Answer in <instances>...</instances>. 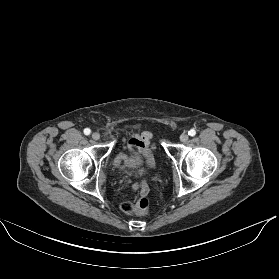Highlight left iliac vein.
<instances>
[{
    "mask_svg": "<svg viewBox=\"0 0 279 279\" xmlns=\"http://www.w3.org/2000/svg\"><path fill=\"white\" fill-rule=\"evenodd\" d=\"M189 136L186 133L181 134L180 141L185 143L188 141Z\"/></svg>",
    "mask_w": 279,
    "mask_h": 279,
    "instance_id": "4c4485c4",
    "label": "left iliac vein"
}]
</instances>
